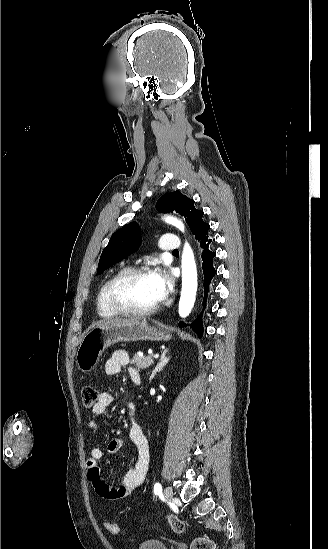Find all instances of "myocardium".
I'll use <instances>...</instances> for the list:
<instances>
[{
	"label": "myocardium",
	"mask_w": 328,
	"mask_h": 549,
	"mask_svg": "<svg viewBox=\"0 0 328 549\" xmlns=\"http://www.w3.org/2000/svg\"><path fill=\"white\" fill-rule=\"evenodd\" d=\"M160 265L158 260H145L142 262L134 263L119 272L108 284L105 291L106 309L107 311L116 316H134L144 317L155 313L162 303V299L154 303L148 308H120L117 305L129 304L118 298L117 291L119 287L131 277H134L143 273H152L151 266Z\"/></svg>",
	"instance_id": "myocardium-1"
}]
</instances>
